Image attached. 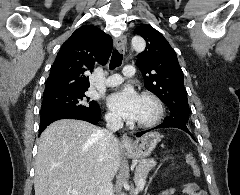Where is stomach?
Segmentation results:
<instances>
[{"mask_svg": "<svg viewBox=\"0 0 240 195\" xmlns=\"http://www.w3.org/2000/svg\"><path fill=\"white\" fill-rule=\"evenodd\" d=\"M160 141V133L158 131H148L138 139L133 141V145L123 147L126 155L135 157V159H149V155L155 149L157 143Z\"/></svg>", "mask_w": 240, "mask_h": 195, "instance_id": "obj_1", "label": "stomach"}]
</instances>
